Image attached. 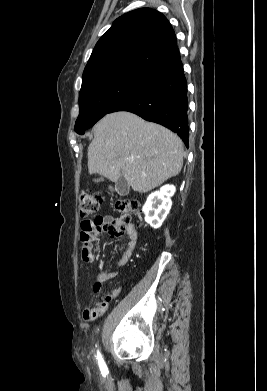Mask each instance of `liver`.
<instances>
[{
    "label": "liver",
    "mask_w": 267,
    "mask_h": 391,
    "mask_svg": "<svg viewBox=\"0 0 267 391\" xmlns=\"http://www.w3.org/2000/svg\"><path fill=\"white\" fill-rule=\"evenodd\" d=\"M93 132L94 139L88 147L90 174L102 175L112 182L123 176L134 191L145 193L177 176L182 169L181 139L133 113L107 114Z\"/></svg>",
    "instance_id": "6515ba94"
}]
</instances>
